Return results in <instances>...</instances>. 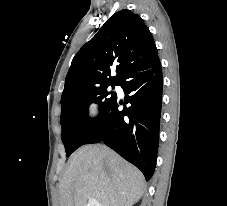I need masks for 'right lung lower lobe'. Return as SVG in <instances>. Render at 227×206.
Returning <instances> with one entry per match:
<instances>
[{
  "mask_svg": "<svg viewBox=\"0 0 227 206\" xmlns=\"http://www.w3.org/2000/svg\"><path fill=\"white\" fill-rule=\"evenodd\" d=\"M162 69L158 56L130 70L118 84L131 106L118 110L116 99L85 144L104 142L138 167L148 181L154 172L159 140Z\"/></svg>",
  "mask_w": 227,
  "mask_h": 206,
  "instance_id": "1",
  "label": "right lung lower lobe"
}]
</instances>
